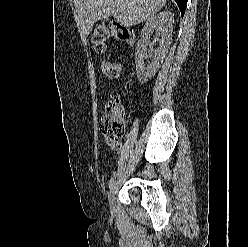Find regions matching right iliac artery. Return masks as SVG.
Wrapping results in <instances>:
<instances>
[{"label": "right iliac artery", "instance_id": "82829eb1", "mask_svg": "<svg viewBox=\"0 0 248 247\" xmlns=\"http://www.w3.org/2000/svg\"><path fill=\"white\" fill-rule=\"evenodd\" d=\"M117 175H118V171H115L111 177V179L109 180V183H108V186H109V189L112 188L113 184L115 183V180L117 178Z\"/></svg>", "mask_w": 248, "mask_h": 247}]
</instances>
